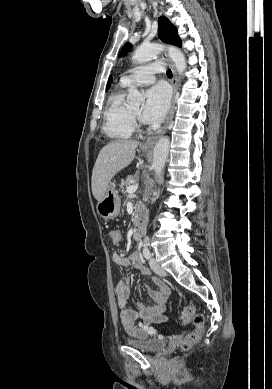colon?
I'll return each instance as SVG.
<instances>
[{"label":"colon","instance_id":"5ec220e1","mask_svg":"<svg viewBox=\"0 0 272 389\" xmlns=\"http://www.w3.org/2000/svg\"><path fill=\"white\" fill-rule=\"evenodd\" d=\"M109 237L114 245H118L122 240L121 232L116 229L109 231ZM182 316L185 322L192 320L195 327L194 330L185 335L182 341V349L189 350L199 342L204 330L205 318L202 314H196L194 308L191 306L184 307Z\"/></svg>","mask_w":272,"mask_h":389}]
</instances>
